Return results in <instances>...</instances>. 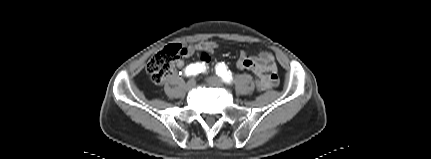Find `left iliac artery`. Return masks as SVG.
Returning <instances> with one entry per match:
<instances>
[{"mask_svg":"<svg viewBox=\"0 0 431 159\" xmlns=\"http://www.w3.org/2000/svg\"><path fill=\"white\" fill-rule=\"evenodd\" d=\"M216 74L222 78L225 83L230 84L233 80L228 67L224 63H219L216 66Z\"/></svg>","mask_w":431,"mask_h":159,"instance_id":"44dca946","label":"left iliac artery"}]
</instances>
